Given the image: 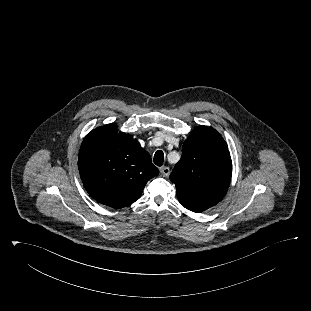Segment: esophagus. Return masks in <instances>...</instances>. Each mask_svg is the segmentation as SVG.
<instances>
[{"mask_svg":"<svg viewBox=\"0 0 311 311\" xmlns=\"http://www.w3.org/2000/svg\"><path fill=\"white\" fill-rule=\"evenodd\" d=\"M160 172L163 176L168 177L170 175V168L167 166H163L160 168Z\"/></svg>","mask_w":311,"mask_h":311,"instance_id":"1","label":"esophagus"}]
</instances>
